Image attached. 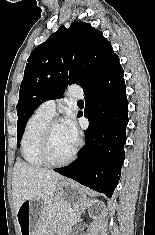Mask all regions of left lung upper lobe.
<instances>
[{"instance_id": "1", "label": "left lung upper lobe", "mask_w": 155, "mask_h": 235, "mask_svg": "<svg viewBox=\"0 0 155 235\" xmlns=\"http://www.w3.org/2000/svg\"><path fill=\"white\" fill-rule=\"evenodd\" d=\"M118 58L101 31L88 23L75 21L61 26L37 46L27 60L17 104V146L26 123L37 107L63 95L68 85L83 90L95 84Z\"/></svg>"}]
</instances>
